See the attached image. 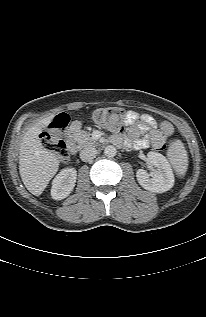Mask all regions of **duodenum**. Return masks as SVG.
<instances>
[{"mask_svg":"<svg viewBox=\"0 0 206 317\" xmlns=\"http://www.w3.org/2000/svg\"><path fill=\"white\" fill-rule=\"evenodd\" d=\"M82 128V125L80 122L75 121L72 123L70 127L67 128V130L64 133L65 136V141L67 143V146L70 151L74 152L75 151V146L77 139L75 137L76 133L79 132Z\"/></svg>","mask_w":206,"mask_h":317,"instance_id":"duodenum-1","label":"duodenum"}]
</instances>
